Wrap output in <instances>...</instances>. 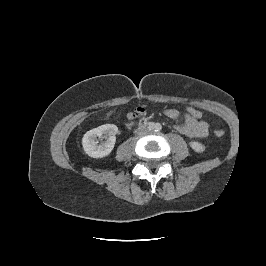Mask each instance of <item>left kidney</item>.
Returning a JSON list of instances; mask_svg holds the SVG:
<instances>
[{
  "label": "left kidney",
  "instance_id": "1",
  "mask_svg": "<svg viewBox=\"0 0 266 266\" xmlns=\"http://www.w3.org/2000/svg\"><path fill=\"white\" fill-rule=\"evenodd\" d=\"M190 146L194 151L199 152V153L205 150V146L198 141H191Z\"/></svg>",
  "mask_w": 266,
  "mask_h": 266
}]
</instances>
